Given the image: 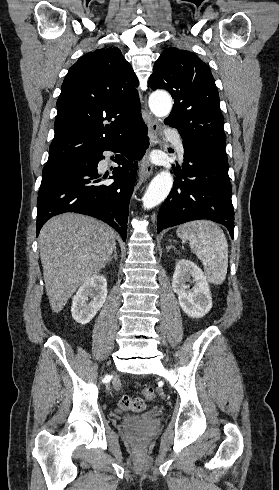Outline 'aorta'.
Listing matches in <instances>:
<instances>
[{"label": "aorta", "instance_id": "762f6f07", "mask_svg": "<svg viewBox=\"0 0 279 490\" xmlns=\"http://www.w3.org/2000/svg\"><path fill=\"white\" fill-rule=\"evenodd\" d=\"M151 112L158 118L169 115L172 109V99L167 92H154L149 97ZM173 177L170 172L162 171L153 178L143 197V207L151 209L159 205L170 193Z\"/></svg>", "mask_w": 279, "mask_h": 490}]
</instances>
